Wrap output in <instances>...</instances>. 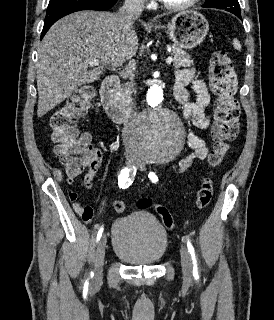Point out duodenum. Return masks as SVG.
<instances>
[{
	"label": "duodenum",
	"mask_w": 274,
	"mask_h": 320,
	"mask_svg": "<svg viewBox=\"0 0 274 320\" xmlns=\"http://www.w3.org/2000/svg\"><path fill=\"white\" fill-rule=\"evenodd\" d=\"M120 77L111 75L106 78L101 87V103L106 113L114 122L123 123L131 115L130 111L121 104L118 95Z\"/></svg>",
	"instance_id": "410a0bca"
}]
</instances>
